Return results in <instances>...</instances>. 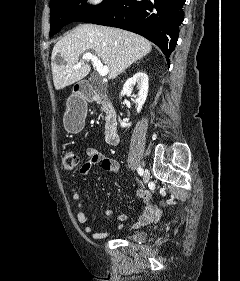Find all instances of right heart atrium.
<instances>
[{"label": "right heart atrium", "mask_w": 240, "mask_h": 281, "mask_svg": "<svg viewBox=\"0 0 240 281\" xmlns=\"http://www.w3.org/2000/svg\"><path fill=\"white\" fill-rule=\"evenodd\" d=\"M104 4V0H83V5L88 10H95Z\"/></svg>", "instance_id": "d8ad5b80"}]
</instances>
